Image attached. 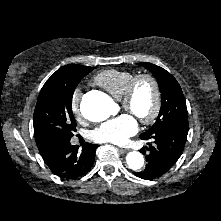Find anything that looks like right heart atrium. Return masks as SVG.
I'll return each mask as SVG.
<instances>
[{
  "label": "right heart atrium",
  "mask_w": 221,
  "mask_h": 221,
  "mask_svg": "<svg viewBox=\"0 0 221 221\" xmlns=\"http://www.w3.org/2000/svg\"><path fill=\"white\" fill-rule=\"evenodd\" d=\"M80 101H81V91L80 89H75L72 92L71 98H70V107L71 111L74 115L80 116L81 109H80Z\"/></svg>",
  "instance_id": "1"
}]
</instances>
